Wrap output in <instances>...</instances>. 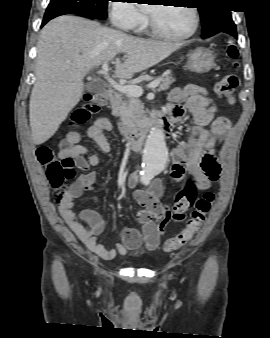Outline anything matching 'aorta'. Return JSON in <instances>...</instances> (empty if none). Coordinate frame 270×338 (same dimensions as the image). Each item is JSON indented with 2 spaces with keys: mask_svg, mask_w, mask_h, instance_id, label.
Masks as SVG:
<instances>
[{
  "mask_svg": "<svg viewBox=\"0 0 270 338\" xmlns=\"http://www.w3.org/2000/svg\"><path fill=\"white\" fill-rule=\"evenodd\" d=\"M168 164V152L162 130L153 128L146 140L143 154V179H151Z\"/></svg>",
  "mask_w": 270,
  "mask_h": 338,
  "instance_id": "762f6f07",
  "label": "aorta"
}]
</instances>
